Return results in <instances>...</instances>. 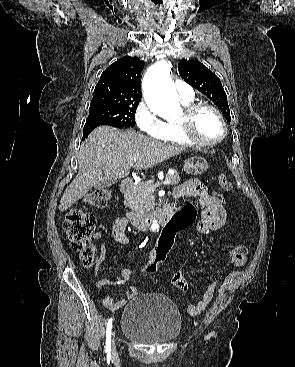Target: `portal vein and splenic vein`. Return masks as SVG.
<instances>
[{
    "instance_id": "18ae733b",
    "label": "portal vein and splenic vein",
    "mask_w": 295,
    "mask_h": 367,
    "mask_svg": "<svg viewBox=\"0 0 295 367\" xmlns=\"http://www.w3.org/2000/svg\"><path fill=\"white\" fill-rule=\"evenodd\" d=\"M169 182H170V179H169V178H165V180L163 181V185H167V184H169ZM159 185H160V183L158 182V183H156L155 185H152V186L148 187V190H150V191H154V189H155L157 186H159Z\"/></svg>"
}]
</instances>
